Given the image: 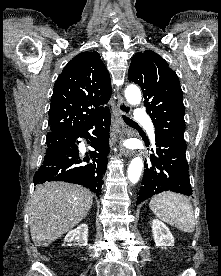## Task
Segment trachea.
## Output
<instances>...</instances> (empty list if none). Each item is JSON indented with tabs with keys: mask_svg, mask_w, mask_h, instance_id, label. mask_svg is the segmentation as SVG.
<instances>
[{
	"mask_svg": "<svg viewBox=\"0 0 221 276\" xmlns=\"http://www.w3.org/2000/svg\"><path fill=\"white\" fill-rule=\"evenodd\" d=\"M123 119H124L125 123H127V124H130V125H135L136 124V122H134L133 120H131L130 118H128L124 115H123Z\"/></svg>",
	"mask_w": 221,
	"mask_h": 276,
	"instance_id": "1",
	"label": "trachea"
}]
</instances>
